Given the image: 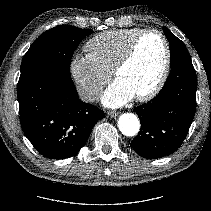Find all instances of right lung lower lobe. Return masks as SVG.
Listing matches in <instances>:
<instances>
[{
  "instance_id": "98d812e1",
  "label": "right lung lower lobe",
  "mask_w": 211,
  "mask_h": 211,
  "mask_svg": "<svg viewBox=\"0 0 211 211\" xmlns=\"http://www.w3.org/2000/svg\"><path fill=\"white\" fill-rule=\"evenodd\" d=\"M20 123L34 148L51 159L72 157L86 143L102 110L82 102L71 75L41 69L17 85Z\"/></svg>"
}]
</instances>
